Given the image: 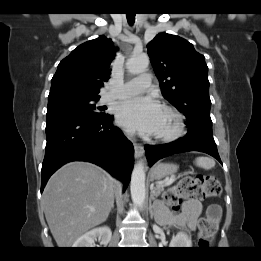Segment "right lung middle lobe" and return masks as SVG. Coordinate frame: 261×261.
Here are the masks:
<instances>
[{
	"label": "right lung middle lobe",
	"mask_w": 261,
	"mask_h": 261,
	"mask_svg": "<svg viewBox=\"0 0 261 261\" xmlns=\"http://www.w3.org/2000/svg\"><path fill=\"white\" fill-rule=\"evenodd\" d=\"M99 97H87L75 93H60L48 98L47 119L67 115L78 114L89 117H102L101 108L96 106Z\"/></svg>",
	"instance_id": "right-lung-middle-lobe-1"
}]
</instances>
